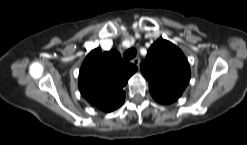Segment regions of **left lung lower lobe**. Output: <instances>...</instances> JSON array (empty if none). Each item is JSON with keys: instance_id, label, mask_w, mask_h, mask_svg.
Instances as JSON below:
<instances>
[{"instance_id": "obj_1", "label": "left lung lower lobe", "mask_w": 247, "mask_h": 145, "mask_svg": "<svg viewBox=\"0 0 247 145\" xmlns=\"http://www.w3.org/2000/svg\"><path fill=\"white\" fill-rule=\"evenodd\" d=\"M150 92L152 97L159 103L170 104L177 100L176 98L161 92H156V91H150Z\"/></svg>"}]
</instances>
